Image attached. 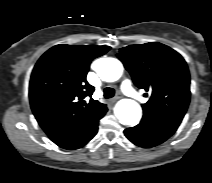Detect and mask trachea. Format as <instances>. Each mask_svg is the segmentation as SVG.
<instances>
[{"mask_svg":"<svg viewBox=\"0 0 212 183\" xmlns=\"http://www.w3.org/2000/svg\"><path fill=\"white\" fill-rule=\"evenodd\" d=\"M103 93H104V98H106V99L112 98L115 95L114 89L110 88V87H106L104 89Z\"/></svg>","mask_w":212,"mask_h":183,"instance_id":"1","label":"trachea"}]
</instances>
